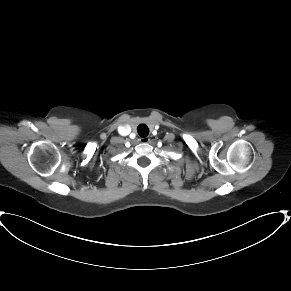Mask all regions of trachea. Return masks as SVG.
<instances>
[{
	"mask_svg": "<svg viewBox=\"0 0 291 291\" xmlns=\"http://www.w3.org/2000/svg\"><path fill=\"white\" fill-rule=\"evenodd\" d=\"M137 131L141 137H146L149 134V128L145 124H140Z\"/></svg>",
	"mask_w": 291,
	"mask_h": 291,
	"instance_id": "obj_1",
	"label": "trachea"
}]
</instances>
